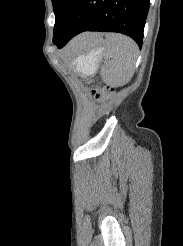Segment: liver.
Here are the masks:
<instances>
[{"label":"liver","instance_id":"liver-1","mask_svg":"<svg viewBox=\"0 0 183 246\" xmlns=\"http://www.w3.org/2000/svg\"><path fill=\"white\" fill-rule=\"evenodd\" d=\"M102 41V35L98 33H83L76 37L72 43L71 47L73 48H84Z\"/></svg>","mask_w":183,"mask_h":246}]
</instances>
